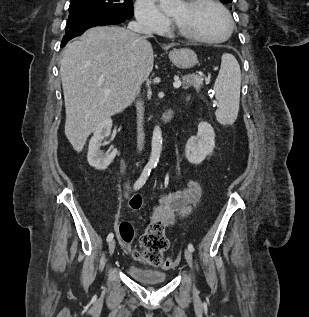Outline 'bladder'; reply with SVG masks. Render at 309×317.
<instances>
[{
    "label": "bladder",
    "instance_id": "31cf9c89",
    "mask_svg": "<svg viewBox=\"0 0 309 317\" xmlns=\"http://www.w3.org/2000/svg\"><path fill=\"white\" fill-rule=\"evenodd\" d=\"M127 272L135 281L147 285L162 284L167 279L166 274L161 270L147 269L137 265H129Z\"/></svg>",
    "mask_w": 309,
    "mask_h": 317
}]
</instances>
